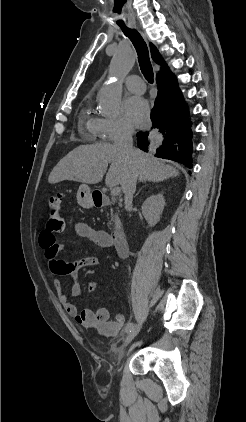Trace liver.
Listing matches in <instances>:
<instances>
[{
  "label": "liver",
  "mask_w": 246,
  "mask_h": 422,
  "mask_svg": "<svg viewBox=\"0 0 246 422\" xmlns=\"http://www.w3.org/2000/svg\"><path fill=\"white\" fill-rule=\"evenodd\" d=\"M135 166L140 181L161 182L179 175L176 168L165 164L150 154L135 150ZM105 184L123 186L128 173V160L110 143L81 145L68 153L54 167L48 182L55 184L64 180L86 184L99 183L107 171Z\"/></svg>",
  "instance_id": "6515ba94"
}]
</instances>
